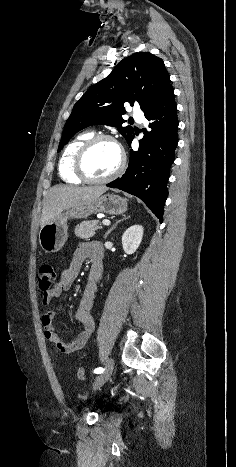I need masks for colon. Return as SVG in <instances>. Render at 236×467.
I'll return each mask as SVG.
<instances>
[{"instance_id": "5ec220e1", "label": "colon", "mask_w": 236, "mask_h": 467, "mask_svg": "<svg viewBox=\"0 0 236 467\" xmlns=\"http://www.w3.org/2000/svg\"><path fill=\"white\" fill-rule=\"evenodd\" d=\"M57 274L55 268L50 264H44L39 269V288L43 293H48L54 289L56 284ZM77 377L80 380L85 379L83 368L77 370Z\"/></svg>"}]
</instances>
